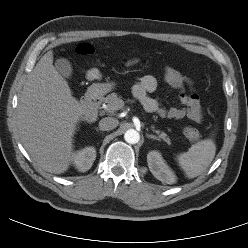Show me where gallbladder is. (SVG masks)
Wrapping results in <instances>:
<instances>
[{
  "mask_svg": "<svg viewBox=\"0 0 248 248\" xmlns=\"http://www.w3.org/2000/svg\"><path fill=\"white\" fill-rule=\"evenodd\" d=\"M56 70L64 77L69 78L72 75L71 63L65 58H59L55 61Z\"/></svg>",
  "mask_w": 248,
  "mask_h": 248,
  "instance_id": "bac80fb5",
  "label": "gallbladder"
}]
</instances>
